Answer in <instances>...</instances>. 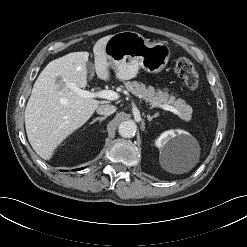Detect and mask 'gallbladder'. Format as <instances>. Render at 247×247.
Instances as JSON below:
<instances>
[{
  "instance_id": "gallbladder-1",
  "label": "gallbladder",
  "mask_w": 247,
  "mask_h": 247,
  "mask_svg": "<svg viewBox=\"0 0 247 247\" xmlns=\"http://www.w3.org/2000/svg\"><path fill=\"white\" fill-rule=\"evenodd\" d=\"M87 69H89V70L92 69V65L90 63H87Z\"/></svg>"
}]
</instances>
